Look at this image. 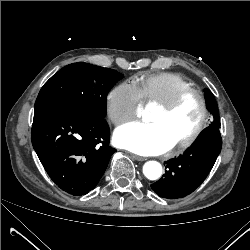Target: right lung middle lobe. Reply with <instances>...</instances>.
I'll list each match as a JSON object with an SVG mask.
<instances>
[{"mask_svg":"<svg viewBox=\"0 0 250 250\" xmlns=\"http://www.w3.org/2000/svg\"><path fill=\"white\" fill-rule=\"evenodd\" d=\"M123 78L109 68L78 62L65 66L41 88L35 109L58 106L77 110L93 117L106 115L107 94Z\"/></svg>","mask_w":250,"mask_h":250,"instance_id":"dd1d6c3e","label":"right lung middle lobe"}]
</instances>
